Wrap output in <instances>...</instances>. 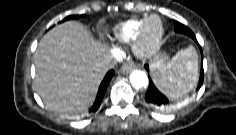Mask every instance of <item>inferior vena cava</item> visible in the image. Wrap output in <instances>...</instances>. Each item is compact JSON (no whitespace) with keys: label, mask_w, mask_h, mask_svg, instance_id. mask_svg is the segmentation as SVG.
Listing matches in <instances>:
<instances>
[{"label":"inferior vena cava","mask_w":236,"mask_h":135,"mask_svg":"<svg viewBox=\"0 0 236 135\" xmlns=\"http://www.w3.org/2000/svg\"><path fill=\"white\" fill-rule=\"evenodd\" d=\"M104 65H105V68H106L107 70H109V69H111V68H114V67L116 66V60L113 59L112 57H109V58L105 61Z\"/></svg>","instance_id":"obj_1"}]
</instances>
